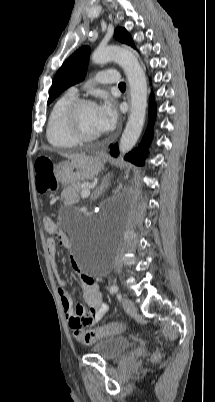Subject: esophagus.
Masks as SVG:
<instances>
[{"mask_svg": "<svg viewBox=\"0 0 215 402\" xmlns=\"http://www.w3.org/2000/svg\"><path fill=\"white\" fill-rule=\"evenodd\" d=\"M127 99L130 100V91L127 92Z\"/></svg>", "mask_w": 215, "mask_h": 402, "instance_id": "obj_1", "label": "esophagus"}]
</instances>
